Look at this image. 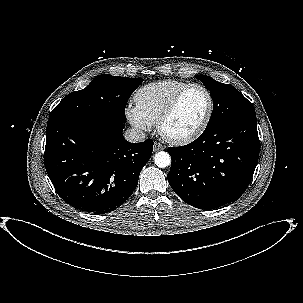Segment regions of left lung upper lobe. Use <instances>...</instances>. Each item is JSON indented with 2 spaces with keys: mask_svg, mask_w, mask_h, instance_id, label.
<instances>
[{
  "mask_svg": "<svg viewBox=\"0 0 303 303\" xmlns=\"http://www.w3.org/2000/svg\"><path fill=\"white\" fill-rule=\"evenodd\" d=\"M210 91L213 112L206 128L243 117L256 116L252 103L232 85L220 83L209 76L197 75Z\"/></svg>",
  "mask_w": 303,
  "mask_h": 303,
  "instance_id": "5c2ea615",
  "label": "left lung upper lobe"
}]
</instances>
